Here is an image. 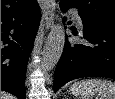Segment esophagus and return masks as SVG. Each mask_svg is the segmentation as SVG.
Masks as SVG:
<instances>
[{"mask_svg":"<svg viewBox=\"0 0 115 99\" xmlns=\"http://www.w3.org/2000/svg\"><path fill=\"white\" fill-rule=\"evenodd\" d=\"M55 5L56 3L54 0H40V7L42 10L41 24L46 31L53 27Z\"/></svg>","mask_w":115,"mask_h":99,"instance_id":"obj_1","label":"esophagus"}]
</instances>
